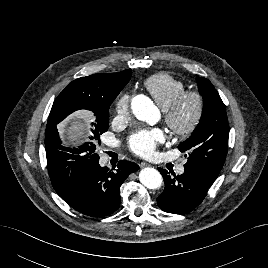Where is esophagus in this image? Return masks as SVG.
<instances>
[{"label":"esophagus","instance_id":"34e87169","mask_svg":"<svg viewBox=\"0 0 268 268\" xmlns=\"http://www.w3.org/2000/svg\"><path fill=\"white\" fill-rule=\"evenodd\" d=\"M139 165H140V167H146V166H149V164L146 163V162H141Z\"/></svg>","mask_w":268,"mask_h":268}]
</instances>
